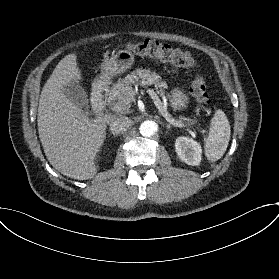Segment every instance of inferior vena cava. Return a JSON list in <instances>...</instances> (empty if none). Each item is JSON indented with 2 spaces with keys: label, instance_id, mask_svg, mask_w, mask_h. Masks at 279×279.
I'll return each instance as SVG.
<instances>
[{
  "label": "inferior vena cava",
  "instance_id": "602c4592",
  "mask_svg": "<svg viewBox=\"0 0 279 279\" xmlns=\"http://www.w3.org/2000/svg\"><path fill=\"white\" fill-rule=\"evenodd\" d=\"M130 125L129 119L124 116H115L113 121L110 122L109 127L112 134H124Z\"/></svg>",
  "mask_w": 279,
  "mask_h": 279
}]
</instances>
